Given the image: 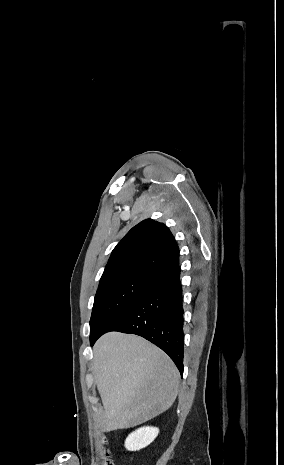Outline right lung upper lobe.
Masks as SVG:
<instances>
[{"mask_svg": "<svg viewBox=\"0 0 284 465\" xmlns=\"http://www.w3.org/2000/svg\"><path fill=\"white\" fill-rule=\"evenodd\" d=\"M178 264L179 248L170 230L146 219L113 249L100 281L127 275L154 280Z\"/></svg>", "mask_w": 284, "mask_h": 465, "instance_id": "1", "label": "right lung upper lobe"}]
</instances>
